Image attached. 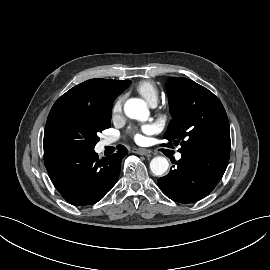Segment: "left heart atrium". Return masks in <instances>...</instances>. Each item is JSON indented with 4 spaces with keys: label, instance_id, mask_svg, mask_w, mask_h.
Returning <instances> with one entry per match:
<instances>
[{
    "label": "left heart atrium",
    "instance_id": "1",
    "mask_svg": "<svg viewBox=\"0 0 270 270\" xmlns=\"http://www.w3.org/2000/svg\"><path fill=\"white\" fill-rule=\"evenodd\" d=\"M155 127L152 124H147L143 126V131L146 133H152L154 131ZM134 138L139 141L141 140V135L139 133H135Z\"/></svg>",
    "mask_w": 270,
    "mask_h": 270
}]
</instances>
